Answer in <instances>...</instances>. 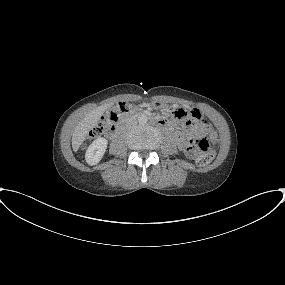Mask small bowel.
I'll use <instances>...</instances> for the list:
<instances>
[{
  "instance_id": "small-bowel-1",
  "label": "small bowel",
  "mask_w": 285,
  "mask_h": 285,
  "mask_svg": "<svg viewBox=\"0 0 285 285\" xmlns=\"http://www.w3.org/2000/svg\"><path fill=\"white\" fill-rule=\"evenodd\" d=\"M192 114H193L194 119H192L189 122H186L185 126L205 127V122L203 120L202 114L196 109L192 110ZM176 140L178 142L179 147L181 149L185 150L187 147L185 134L183 132H177L176 133ZM190 156H195V154H190Z\"/></svg>"
}]
</instances>
